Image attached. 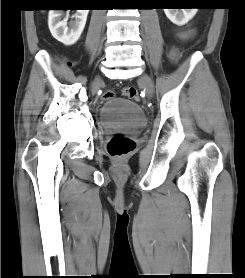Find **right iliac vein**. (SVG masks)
Listing matches in <instances>:
<instances>
[{
    "label": "right iliac vein",
    "mask_w": 245,
    "mask_h": 278,
    "mask_svg": "<svg viewBox=\"0 0 245 278\" xmlns=\"http://www.w3.org/2000/svg\"><path fill=\"white\" fill-rule=\"evenodd\" d=\"M101 81H102V79H101L100 77H97V78L94 80V82H93V87H92L93 92H96V91H97L98 86L100 85Z\"/></svg>",
    "instance_id": "right-iliac-vein-1"
}]
</instances>
